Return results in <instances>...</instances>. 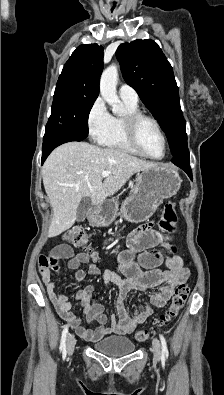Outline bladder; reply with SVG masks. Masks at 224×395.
<instances>
[{"label":"bladder","mask_w":224,"mask_h":395,"mask_svg":"<svg viewBox=\"0 0 224 395\" xmlns=\"http://www.w3.org/2000/svg\"><path fill=\"white\" fill-rule=\"evenodd\" d=\"M136 346L129 337L110 336L93 345V349L109 357H119L134 352Z\"/></svg>","instance_id":"bladder-1"}]
</instances>
